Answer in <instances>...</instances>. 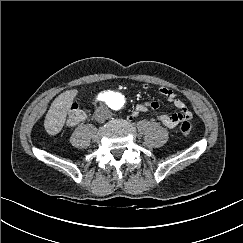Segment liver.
<instances>
[{
  "label": "liver",
  "instance_id": "1",
  "mask_svg": "<svg viewBox=\"0 0 243 243\" xmlns=\"http://www.w3.org/2000/svg\"><path fill=\"white\" fill-rule=\"evenodd\" d=\"M76 94V90H67L58 95L51 103L44 121L45 130L49 135H56L63 128Z\"/></svg>",
  "mask_w": 243,
  "mask_h": 243
}]
</instances>
